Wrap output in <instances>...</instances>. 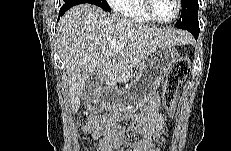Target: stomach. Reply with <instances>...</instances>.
Here are the masks:
<instances>
[{
    "mask_svg": "<svg viewBox=\"0 0 231 151\" xmlns=\"http://www.w3.org/2000/svg\"><path fill=\"white\" fill-rule=\"evenodd\" d=\"M180 55L173 46H161L150 52L138 66V72L124 89L111 86L105 89L107 103L119 111L135 112L149 102L166 73Z\"/></svg>",
    "mask_w": 231,
    "mask_h": 151,
    "instance_id": "1",
    "label": "stomach"
}]
</instances>
